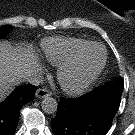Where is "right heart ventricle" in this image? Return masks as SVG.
Returning a JSON list of instances; mask_svg holds the SVG:
<instances>
[{"mask_svg":"<svg viewBox=\"0 0 135 135\" xmlns=\"http://www.w3.org/2000/svg\"><path fill=\"white\" fill-rule=\"evenodd\" d=\"M90 40L74 37H49L41 43L42 57L53 65H60L73 58Z\"/></svg>","mask_w":135,"mask_h":135,"instance_id":"right-heart-ventricle-1","label":"right heart ventricle"}]
</instances>
